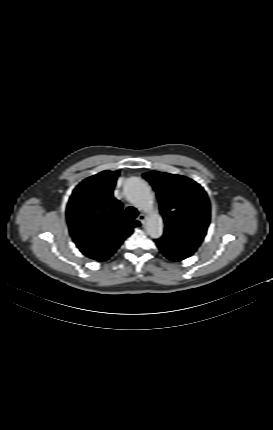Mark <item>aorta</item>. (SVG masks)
<instances>
[{
    "mask_svg": "<svg viewBox=\"0 0 273 430\" xmlns=\"http://www.w3.org/2000/svg\"><path fill=\"white\" fill-rule=\"evenodd\" d=\"M128 200L138 209L148 213L146 230L151 238L156 239L163 234V219L154 210V200L149 185L139 177H131L125 185Z\"/></svg>",
    "mask_w": 273,
    "mask_h": 430,
    "instance_id": "aorta-1",
    "label": "aorta"
}]
</instances>
